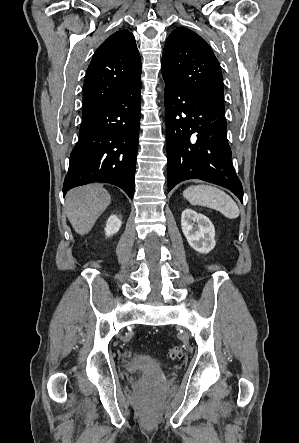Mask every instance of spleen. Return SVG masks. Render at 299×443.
Returning <instances> with one entry per match:
<instances>
[{
  "label": "spleen",
  "mask_w": 299,
  "mask_h": 443,
  "mask_svg": "<svg viewBox=\"0 0 299 443\" xmlns=\"http://www.w3.org/2000/svg\"><path fill=\"white\" fill-rule=\"evenodd\" d=\"M183 196L192 205L215 209L229 219H235L240 214L238 205L228 194L210 185L189 186Z\"/></svg>",
  "instance_id": "1"
}]
</instances>
